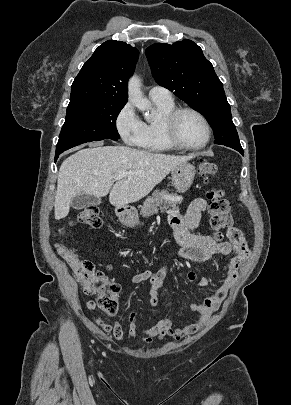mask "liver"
I'll return each instance as SVG.
<instances>
[{
	"label": "liver",
	"instance_id": "liver-1",
	"mask_svg": "<svg viewBox=\"0 0 291 405\" xmlns=\"http://www.w3.org/2000/svg\"><path fill=\"white\" fill-rule=\"evenodd\" d=\"M189 156L151 153L125 146H98L79 150L60 166L55 196V219L65 218L74 197L86 193L124 207L148 195ZM120 171L129 174L114 184Z\"/></svg>",
	"mask_w": 291,
	"mask_h": 405
}]
</instances>
